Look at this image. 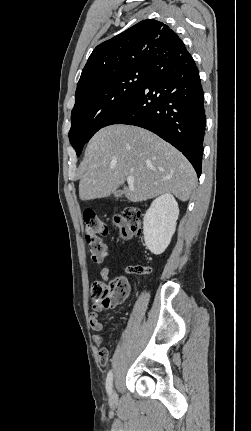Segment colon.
<instances>
[{
	"label": "colon",
	"instance_id": "5ec220e1",
	"mask_svg": "<svg viewBox=\"0 0 251 431\" xmlns=\"http://www.w3.org/2000/svg\"><path fill=\"white\" fill-rule=\"evenodd\" d=\"M142 212L139 208L128 207L115 217V224L124 239L141 234ZM83 233L88 252L92 260L102 263L107 257V245L105 238L108 235L106 223L93 211L83 214ZM129 272L142 274L144 267L131 266ZM129 285L125 279H117L110 283L95 281L91 286V297L95 305L102 308H113L121 304L128 295Z\"/></svg>",
	"mask_w": 251,
	"mask_h": 431
}]
</instances>
